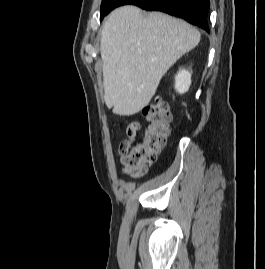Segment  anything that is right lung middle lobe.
Here are the masks:
<instances>
[{"instance_id": "right-lung-middle-lobe-1", "label": "right lung middle lobe", "mask_w": 265, "mask_h": 269, "mask_svg": "<svg viewBox=\"0 0 265 269\" xmlns=\"http://www.w3.org/2000/svg\"><path fill=\"white\" fill-rule=\"evenodd\" d=\"M114 0H102L100 20L105 16Z\"/></svg>"}]
</instances>
